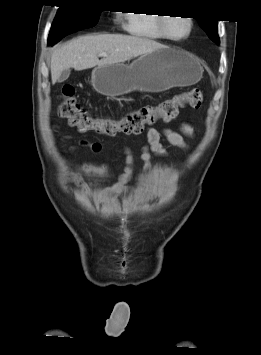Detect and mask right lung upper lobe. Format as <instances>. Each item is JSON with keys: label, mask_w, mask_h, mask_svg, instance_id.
Masks as SVG:
<instances>
[{"label": "right lung upper lobe", "mask_w": 261, "mask_h": 355, "mask_svg": "<svg viewBox=\"0 0 261 355\" xmlns=\"http://www.w3.org/2000/svg\"><path fill=\"white\" fill-rule=\"evenodd\" d=\"M64 3L66 2H74V1H79V0H62Z\"/></svg>", "instance_id": "cb5924a9"}]
</instances>
